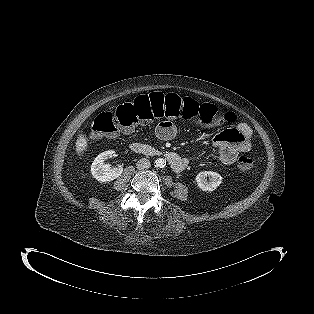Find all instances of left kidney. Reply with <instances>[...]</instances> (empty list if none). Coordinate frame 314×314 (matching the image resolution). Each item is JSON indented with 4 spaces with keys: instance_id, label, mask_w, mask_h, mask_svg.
Segmentation results:
<instances>
[{
    "instance_id": "1",
    "label": "left kidney",
    "mask_w": 314,
    "mask_h": 314,
    "mask_svg": "<svg viewBox=\"0 0 314 314\" xmlns=\"http://www.w3.org/2000/svg\"><path fill=\"white\" fill-rule=\"evenodd\" d=\"M209 177V180H207ZM197 186L203 191H214L222 182V177L219 173L213 171H202L195 178Z\"/></svg>"
}]
</instances>
